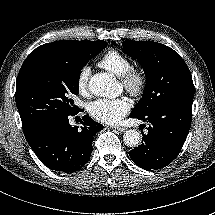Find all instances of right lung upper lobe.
Here are the masks:
<instances>
[{
    "instance_id": "1",
    "label": "right lung upper lobe",
    "mask_w": 215,
    "mask_h": 215,
    "mask_svg": "<svg viewBox=\"0 0 215 215\" xmlns=\"http://www.w3.org/2000/svg\"><path fill=\"white\" fill-rule=\"evenodd\" d=\"M88 42L91 41H73V40L56 41L53 43H47L37 47L28 55V57L24 61L19 71L17 81L18 82L21 81L25 76L29 75L33 71L54 61L67 50L73 47H77L79 45L86 44Z\"/></svg>"
}]
</instances>
